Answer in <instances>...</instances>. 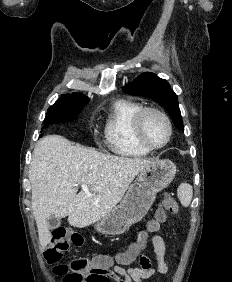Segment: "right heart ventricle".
<instances>
[{"instance_id":"e07e8e85","label":"right heart ventricle","mask_w":232,"mask_h":282,"mask_svg":"<svg viewBox=\"0 0 232 282\" xmlns=\"http://www.w3.org/2000/svg\"><path fill=\"white\" fill-rule=\"evenodd\" d=\"M142 106L128 99H117L109 109L104 128L109 150L122 157H143L150 153L135 139L133 120Z\"/></svg>"}]
</instances>
